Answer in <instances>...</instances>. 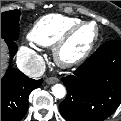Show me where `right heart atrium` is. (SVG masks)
<instances>
[{
    "label": "right heart atrium",
    "mask_w": 121,
    "mask_h": 121,
    "mask_svg": "<svg viewBox=\"0 0 121 121\" xmlns=\"http://www.w3.org/2000/svg\"><path fill=\"white\" fill-rule=\"evenodd\" d=\"M40 61L35 52L29 47L23 46L19 53V65L24 70H31L39 65Z\"/></svg>",
    "instance_id": "obj_1"
}]
</instances>
